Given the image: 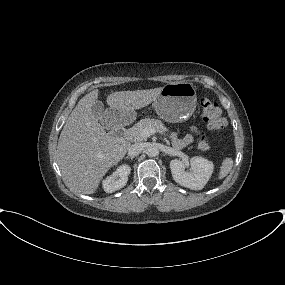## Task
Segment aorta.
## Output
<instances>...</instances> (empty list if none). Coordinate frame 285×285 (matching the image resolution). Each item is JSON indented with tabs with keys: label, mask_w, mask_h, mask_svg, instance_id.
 I'll list each match as a JSON object with an SVG mask.
<instances>
[{
	"label": "aorta",
	"mask_w": 285,
	"mask_h": 285,
	"mask_svg": "<svg viewBox=\"0 0 285 285\" xmlns=\"http://www.w3.org/2000/svg\"><path fill=\"white\" fill-rule=\"evenodd\" d=\"M146 154L149 157H156L159 154V150L155 146H150L146 149Z\"/></svg>",
	"instance_id": "aorta-1"
}]
</instances>
